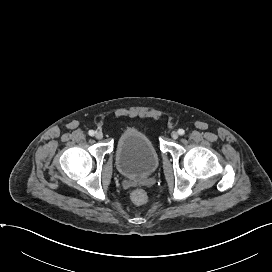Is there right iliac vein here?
<instances>
[{
    "label": "right iliac vein",
    "mask_w": 272,
    "mask_h": 272,
    "mask_svg": "<svg viewBox=\"0 0 272 272\" xmlns=\"http://www.w3.org/2000/svg\"><path fill=\"white\" fill-rule=\"evenodd\" d=\"M95 138L98 139V140L102 139L103 138V133L102 132H96Z\"/></svg>",
    "instance_id": "63e3f726"
}]
</instances>
